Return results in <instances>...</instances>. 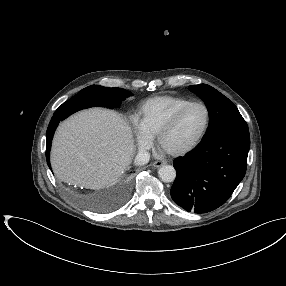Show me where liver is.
<instances>
[{"label":"liver","instance_id":"6515ba94","mask_svg":"<svg viewBox=\"0 0 286 286\" xmlns=\"http://www.w3.org/2000/svg\"><path fill=\"white\" fill-rule=\"evenodd\" d=\"M134 152L127 122L114 111L92 108L60 124L52 142L51 165L66 183L102 189L122 176Z\"/></svg>","mask_w":286,"mask_h":286}]
</instances>
